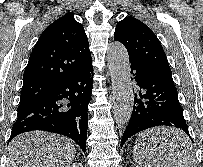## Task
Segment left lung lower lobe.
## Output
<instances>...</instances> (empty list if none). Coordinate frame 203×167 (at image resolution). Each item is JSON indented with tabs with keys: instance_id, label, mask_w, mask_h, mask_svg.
Instances as JSON below:
<instances>
[{
	"instance_id": "obj_1",
	"label": "left lung lower lobe",
	"mask_w": 203,
	"mask_h": 167,
	"mask_svg": "<svg viewBox=\"0 0 203 167\" xmlns=\"http://www.w3.org/2000/svg\"><path fill=\"white\" fill-rule=\"evenodd\" d=\"M131 63V80L137 83L139 92L135 93L134 108L122 139L121 148L134 134L154 126H173L189 135L183 111L178 100L177 89L170 76L161 75L137 61ZM174 148L185 154H192L191 148L177 143Z\"/></svg>"
}]
</instances>
